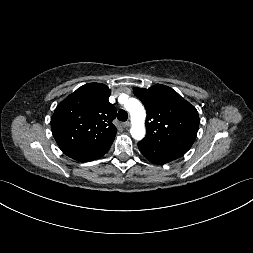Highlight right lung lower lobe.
<instances>
[{
    "mask_svg": "<svg viewBox=\"0 0 253 253\" xmlns=\"http://www.w3.org/2000/svg\"><path fill=\"white\" fill-rule=\"evenodd\" d=\"M112 143H113V140L109 141L105 144H102L100 146H97L93 149L81 152V153L73 156L72 158L77 161H81V162H89V161H93L95 159H99L101 156H103L105 153H107L109 151Z\"/></svg>",
    "mask_w": 253,
    "mask_h": 253,
    "instance_id": "right-lung-lower-lobe-1",
    "label": "right lung lower lobe"
}]
</instances>
